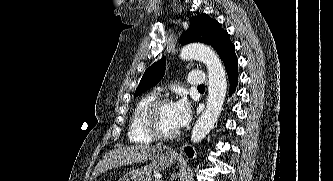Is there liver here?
<instances>
[{"mask_svg": "<svg viewBox=\"0 0 333 181\" xmlns=\"http://www.w3.org/2000/svg\"><path fill=\"white\" fill-rule=\"evenodd\" d=\"M161 150V147L149 145H134L119 147L105 154L98 162L91 179L98 177L107 170L133 163L146 162L152 158V153Z\"/></svg>", "mask_w": 333, "mask_h": 181, "instance_id": "1", "label": "liver"}]
</instances>
